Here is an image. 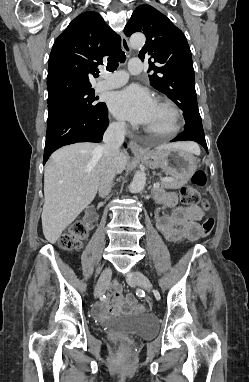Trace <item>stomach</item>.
Listing matches in <instances>:
<instances>
[{
	"mask_svg": "<svg viewBox=\"0 0 249 382\" xmlns=\"http://www.w3.org/2000/svg\"><path fill=\"white\" fill-rule=\"evenodd\" d=\"M152 169L161 168L169 172L173 177L188 180L197 169V159L192 152L180 147L159 146L153 150H147L140 157Z\"/></svg>",
	"mask_w": 249,
	"mask_h": 382,
	"instance_id": "1",
	"label": "stomach"
}]
</instances>
